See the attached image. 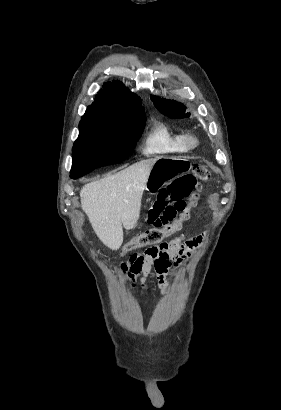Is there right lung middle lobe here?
I'll return each instance as SVG.
<instances>
[{
	"label": "right lung middle lobe",
	"instance_id": "dd1d6c3e",
	"mask_svg": "<svg viewBox=\"0 0 281 410\" xmlns=\"http://www.w3.org/2000/svg\"><path fill=\"white\" fill-rule=\"evenodd\" d=\"M145 121V116L109 120L84 114L72 149L70 177L76 179L95 168L127 159L144 130Z\"/></svg>",
	"mask_w": 281,
	"mask_h": 410
}]
</instances>
